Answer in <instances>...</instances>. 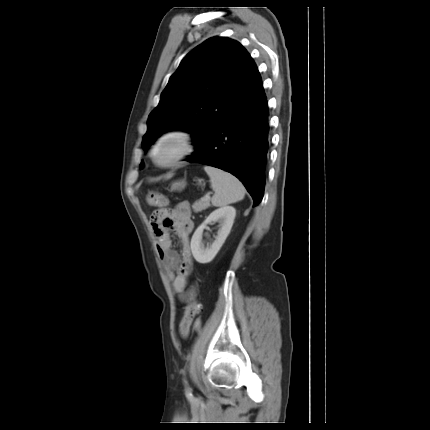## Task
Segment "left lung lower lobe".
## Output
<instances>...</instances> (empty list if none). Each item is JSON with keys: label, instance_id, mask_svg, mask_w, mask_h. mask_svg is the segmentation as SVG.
Masks as SVG:
<instances>
[{"label": "left lung lower lobe", "instance_id": "left-lung-lower-lobe-1", "mask_svg": "<svg viewBox=\"0 0 430 430\" xmlns=\"http://www.w3.org/2000/svg\"><path fill=\"white\" fill-rule=\"evenodd\" d=\"M257 88L229 109L220 122L202 128L193 141L196 151L185 161L225 170L252 196L263 198L269 149L268 105L259 72Z\"/></svg>", "mask_w": 430, "mask_h": 430}]
</instances>
